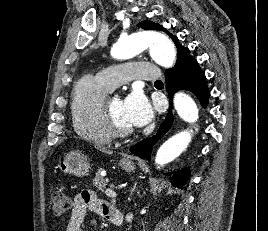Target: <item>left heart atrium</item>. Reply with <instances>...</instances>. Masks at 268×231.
Masks as SVG:
<instances>
[{
  "instance_id": "39dd6f15",
  "label": "left heart atrium",
  "mask_w": 268,
  "mask_h": 231,
  "mask_svg": "<svg viewBox=\"0 0 268 231\" xmlns=\"http://www.w3.org/2000/svg\"><path fill=\"white\" fill-rule=\"evenodd\" d=\"M124 108L129 122L134 127H141L148 124L154 116L149 100L138 89H134L126 97Z\"/></svg>"
}]
</instances>
